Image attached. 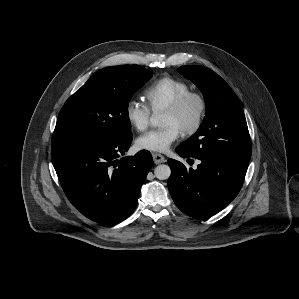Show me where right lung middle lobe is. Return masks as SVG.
<instances>
[{
    "instance_id": "obj_1",
    "label": "right lung middle lobe",
    "mask_w": 299,
    "mask_h": 299,
    "mask_svg": "<svg viewBox=\"0 0 299 299\" xmlns=\"http://www.w3.org/2000/svg\"><path fill=\"white\" fill-rule=\"evenodd\" d=\"M151 77L138 65L97 71L62 107L53 137L103 140L132 134L128 103Z\"/></svg>"
}]
</instances>
